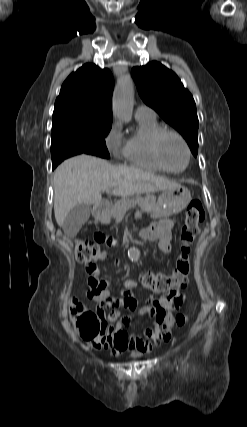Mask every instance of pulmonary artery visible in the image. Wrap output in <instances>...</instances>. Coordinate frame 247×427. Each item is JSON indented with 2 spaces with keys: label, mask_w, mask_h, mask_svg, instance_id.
I'll list each match as a JSON object with an SVG mask.
<instances>
[{
  "label": "pulmonary artery",
  "mask_w": 247,
  "mask_h": 427,
  "mask_svg": "<svg viewBox=\"0 0 247 427\" xmlns=\"http://www.w3.org/2000/svg\"><path fill=\"white\" fill-rule=\"evenodd\" d=\"M136 117L155 116L154 110L146 105H139L135 111Z\"/></svg>",
  "instance_id": "e3ab8cb5"
}]
</instances>
